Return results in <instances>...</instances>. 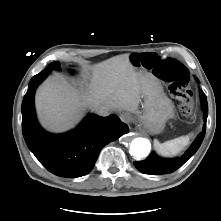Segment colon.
<instances>
[{
    "mask_svg": "<svg viewBox=\"0 0 221 221\" xmlns=\"http://www.w3.org/2000/svg\"><path fill=\"white\" fill-rule=\"evenodd\" d=\"M136 62L166 83L170 94L179 101L181 112L190 119L194 118L193 94L188 88V70L182 63L173 58L163 59L154 53H145Z\"/></svg>",
    "mask_w": 221,
    "mask_h": 221,
    "instance_id": "5ec220e1",
    "label": "colon"
}]
</instances>
